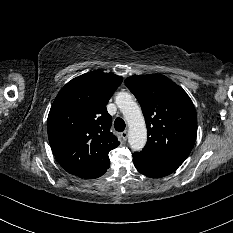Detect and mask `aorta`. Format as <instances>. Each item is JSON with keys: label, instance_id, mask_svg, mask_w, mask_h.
<instances>
[{"label": "aorta", "instance_id": "762f6f07", "mask_svg": "<svg viewBox=\"0 0 233 233\" xmlns=\"http://www.w3.org/2000/svg\"><path fill=\"white\" fill-rule=\"evenodd\" d=\"M115 102L129 126L128 142L131 148L142 150L147 141V129L139 106L127 92L118 93Z\"/></svg>", "mask_w": 233, "mask_h": 233}]
</instances>
